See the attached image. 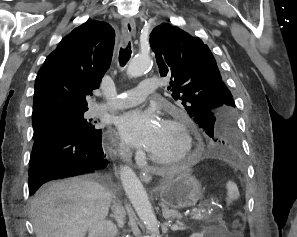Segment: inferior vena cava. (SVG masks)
Here are the masks:
<instances>
[{
  "label": "inferior vena cava",
  "mask_w": 297,
  "mask_h": 237,
  "mask_svg": "<svg viewBox=\"0 0 297 237\" xmlns=\"http://www.w3.org/2000/svg\"><path fill=\"white\" fill-rule=\"evenodd\" d=\"M117 212H118L119 215H124L125 214L124 208L121 205H119V207L117 208Z\"/></svg>",
  "instance_id": "obj_1"
}]
</instances>
